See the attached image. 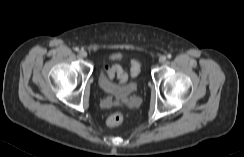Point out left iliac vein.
I'll return each mask as SVG.
<instances>
[{
    "label": "left iliac vein",
    "instance_id": "obj_1",
    "mask_svg": "<svg viewBox=\"0 0 244 157\" xmlns=\"http://www.w3.org/2000/svg\"><path fill=\"white\" fill-rule=\"evenodd\" d=\"M166 56H164V55H162V56H160V58H159V61L161 62V63H165L166 62Z\"/></svg>",
    "mask_w": 244,
    "mask_h": 157
}]
</instances>
